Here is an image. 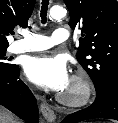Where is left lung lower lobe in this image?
I'll use <instances>...</instances> for the list:
<instances>
[{
	"instance_id": "0a47b994",
	"label": "left lung lower lobe",
	"mask_w": 118,
	"mask_h": 123,
	"mask_svg": "<svg viewBox=\"0 0 118 123\" xmlns=\"http://www.w3.org/2000/svg\"><path fill=\"white\" fill-rule=\"evenodd\" d=\"M96 94V100L91 106L67 115L61 123H76L95 118L118 120V78L108 82Z\"/></svg>"
}]
</instances>
